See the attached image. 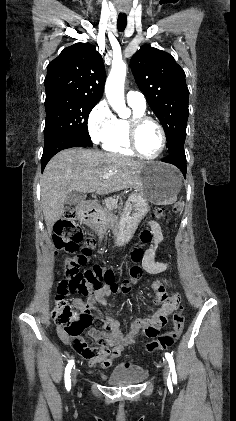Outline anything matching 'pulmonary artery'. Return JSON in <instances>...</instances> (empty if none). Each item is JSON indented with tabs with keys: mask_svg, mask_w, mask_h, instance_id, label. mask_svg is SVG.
<instances>
[{
	"mask_svg": "<svg viewBox=\"0 0 236 421\" xmlns=\"http://www.w3.org/2000/svg\"><path fill=\"white\" fill-rule=\"evenodd\" d=\"M127 102L130 105L136 106V107L141 108V109L146 108V100H145L144 96L140 93H137V92H133V91L128 92Z\"/></svg>",
	"mask_w": 236,
	"mask_h": 421,
	"instance_id": "e3ab8cb5",
	"label": "pulmonary artery"
}]
</instances>
